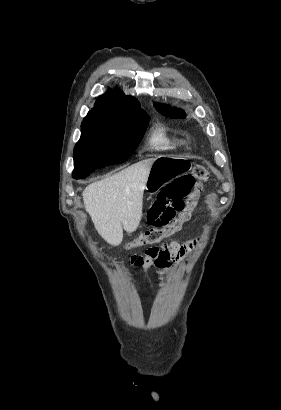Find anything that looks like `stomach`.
Segmentation results:
<instances>
[{"label": "stomach", "instance_id": "0dacf381", "mask_svg": "<svg viewBox=\"0 0 281 410\" xmlns=\"http://www.w3.org/2000/svg\"><path fill=\"white\" fill-rule=\"evenodd\" d=\"M191 168L190 161L183 156H159L155 158L146 182V189L156 192L161 189L174 176L188 171Z\"/></svg>", "mask_w": 281, "mask_h": 410}]
</instances>
